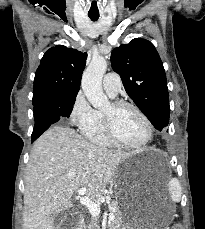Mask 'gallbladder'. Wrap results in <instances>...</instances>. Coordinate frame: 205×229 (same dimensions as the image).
Instances as JSON below:
<instances>
[{
  "label": "gallbladder",
  "instance_id": "bac80fb5",
  "mask_svg": "<svg viewBox=\"0 0 205 229\" xmlns=\"http://www.w3.org/2000/svg\"><path fill=\"white\" fill-rule=\"evenodd\" d=\"M71 225V217L66 216L64 212H60L56 215L54 219V227H60L57 229H69V226Z\"/></svg>",
  "mask_w": 205,
  "mask_h": 229
}]
</instances>
